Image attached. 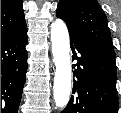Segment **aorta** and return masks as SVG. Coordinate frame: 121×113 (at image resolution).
Segmentation results:
<instances>
[{
    "label": "aorta",
    "mask_w": 121,
    "mask_h": 113,
    "mask_svg": "<svg viewBox=\"0 0 121 113\" xmlns=\"http://www.w3.org/2000/svg\"><path fill=\"white\" fill-rule=\"evenodd\" d=\"M51 42L54 63V100L57 107L64 108L71 91L70 41L66 24L56 19L51 25Z\"/></svg>",
    "instance_id": "obj_1"
}]
</instances>
